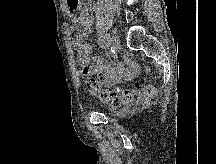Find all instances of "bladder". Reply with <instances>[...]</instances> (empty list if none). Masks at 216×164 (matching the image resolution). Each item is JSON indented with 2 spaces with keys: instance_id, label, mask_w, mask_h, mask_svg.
<instances>
[{
  "instance_id": "bladder-1",
  "label": "bladder",
  "mask_w": 216,
  "mask_h": 164,
  "mask_svg": "<svg viewBox=\"0 0 216 164\" xmlns=\"http://www.w3.org/2000/svg\"><path fill=\"white\" fill-rule=\"evenodd\" d=\"M127 112H128L127 106L111 110V113L113 116L123 115V114H126Z\"/></svg>"
}]
</instances>
